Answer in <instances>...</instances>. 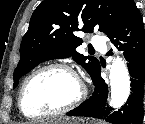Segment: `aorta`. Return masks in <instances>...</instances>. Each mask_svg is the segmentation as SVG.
Returning <instances> with one entry per match:
<instances>
[{
	"instance_id": "obj_1",
	"label": "aorta",
	"mask_w": 145,
	"mask_h": 124,
	"mask_svg": "<svg viewBox=\"0 0 145 124\" xmlns=\"http://www.w3.org/2000/svg\"><path fill=\"white\" fill-rule=\"evenodd\" d=\"M109 79L111 86L110 106L118 109L126 103L131 90L127 65L119 56L112 61Z\"/></svg>"
}]
</instances>
